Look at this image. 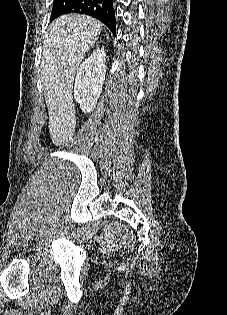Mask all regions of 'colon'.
I'll return each mask as SVG.
<instances>
[{
    "label": "colon",
    "instance_id": "1",
    "mask_svg": "<svg viewBox=\"0 0 227 315\" xmlns=\"http://www.w3.org/2000/svg\"><path fill=\"white\" fill-rule=\"evenodd\" d=\"M133 236L128 227H124L123 235H122V240L125 244H129L130 241L132 240Z\"/></svg>",
    "mask_w": 227,
    "mask_h": 315
}]
</instances>
